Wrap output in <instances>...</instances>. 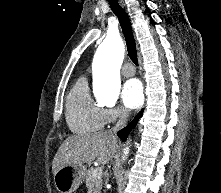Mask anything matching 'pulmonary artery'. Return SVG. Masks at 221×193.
<instances>
[{
  "label": "pulmonary artery",
  "mask_w": 221,
  "mask_h": 193,
  "mask_svg": "<svg viewBox=\"0 0 221 193\" xmlns=\"http://www.w3.org/2000/svg\"><path fill=\"white\" fill-rule=\"evenodd\" d=\"M122 74L126 77H131L135 74V70L131 64H125L122 67Z\"/></svg>",
  "instance_id": "1"
}]
</instances>
